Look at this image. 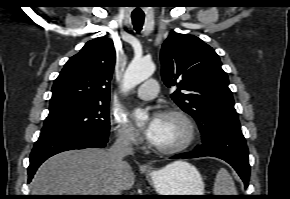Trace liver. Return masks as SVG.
I'll use <instances>...</instances> for the list:
<instances>
[{
	"mask_svg": "<svg viewBox=\"0 0 290 199\" xmlns=\"http://www.w3.org/2000/svg\"><path fill=\"white\" fill-rule=\"evenodd\" d=\"M176 162L172 165L176 166ZM134 182L128 163L118 170L109 150L86 148L62 152L45 161L34 175L31 193L112 195L116 190H130Z\"/></svg>",
	"mask_w": 290,
	"mask_h": 199,
	"instance_id": "liver-1",
	"label": "liver"
}]
</instances>
